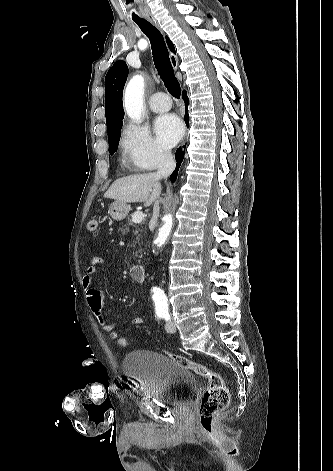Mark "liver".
<instances>
[{
  "label": "liver",
  "instance_id": "liver-1",
  "mask_svg": "<svg viewBox=\"0 0 333 471\" xmlns=\"http://www.w3.org/2000/svg\"><path fill=\"white\" fill-rule=\"evenodd\" d=\"M159 180L156 173L122 177L112 183L104 197L122 203L144 202V206L148 207L160 196L162 188Z\"/></svg>",
  "mask_w": 333,
  "mask_h": 471
}]
</instances>
